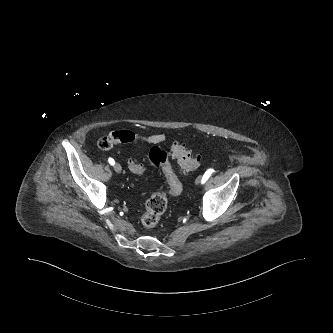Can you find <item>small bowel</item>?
<instances>
[{
    "label": "small bowel",
    "instance_id": "c3829d8e",
    "mask_svg": "<svg viewBox=\"0 0 333 333\" xmlns=\"http://www.w3.org/2000/svg\"><path fill=\"white\" fill-rule=\"evenodd\" d=\"M116 143H130L134 141L145 142L148 144H161L166 140L163 133H153L142 135L128 130H117L111 133Z\"/></svg>",
    "mask_w": 333,
    "mask_h": 333
}]
</instances>
